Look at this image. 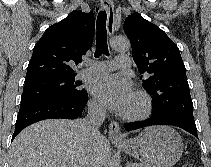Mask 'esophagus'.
<instances>
[{"mask_svg": "<svg viewBox=\"0 0 211 167\" xmlns=\"http://www.w3.org/2000/svg\"><path fill=\"white\" fill-rule=\"evenodd\" d=\"M102 8L107 12V31L111 37L114 33L115 12L112 0H101ZM109 138L111 141H123L124 138L120 132L119 124L115 121L110 122Z\"/></svg>", "mask_w": 211, "mask_h": 167, "instance_id": "1", "label": "esophagus"}]
</instances>
